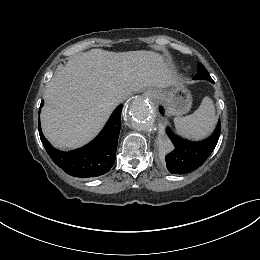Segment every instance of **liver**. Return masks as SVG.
Masks as SVG:
<instances>
[{
  "label": "liver",
  "instance_id": "liver-1",
  "mask_svg": "<svg viewBox=\"0 0 260 260\" xmlns=\"http://www.w3.org/2000/svg\"><path fill=\"white\" fill-rule=\"evenodd\" d=\"M176 83L177 77L158 53L92 49L71 58L48 83L42 132L56 148H78L102 129L116 107V97Z\"/></svg>",
  "mask_w": 260,
  "mask_h": 260
}]
</instances>
